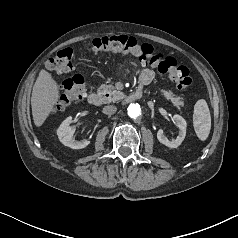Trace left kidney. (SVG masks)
I'll return each mask as SVG.
<instances>
[{
  "instance_id": "1",
  "label": "left kidney",
  "mask_w": 238,
  "mask_h": 238,
  "mask_svg": "<svg viewBox=\"0 0 238 238\" xmlns=\"http://www.w3.org/2000/svg\"><path fill=\"white\" fill-rule=\"evenodd\" d=\"M173 121L177 125V127L179 128V133H178V136L176 137V139L170 141L164 135L163 129L158 130L157 139L159 140V142L166 145L167 147L177 148L178 146L181 145L182 141L184 140V138L186 136L187 123H186L185 119L182 116L178 115V114L173 116Z\"/></svg>"
}]
</instances>
